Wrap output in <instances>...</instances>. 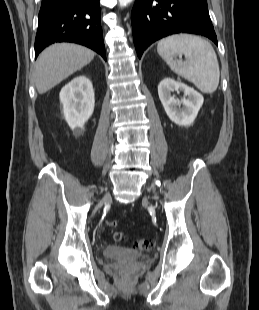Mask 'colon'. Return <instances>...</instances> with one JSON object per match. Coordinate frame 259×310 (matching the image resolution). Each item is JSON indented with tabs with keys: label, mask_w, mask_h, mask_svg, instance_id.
<instances>
[{
	"label": "colon",
	"mask_w": 259,
	"mask_h": 310,
	"mask_svg": "<svg viewBox=\"0 0 259 310\" xmlns=\"http://www.w3.org/2000/svg\"><path fill=\"white\" fill-rule=\"evenodd\" d=\"M117 224L118 223L116 220H110L107 223L108 227L112 229L113 240L115 242H121L124 239V235L121 231L115 230V228L117 227ZM151 246H152L151 241L145 240V239L137 240L134 243V249L137 251H146V250L150 249Z\"/></svg>",
	"instance_id": "colon-1"
}]
</instances>
